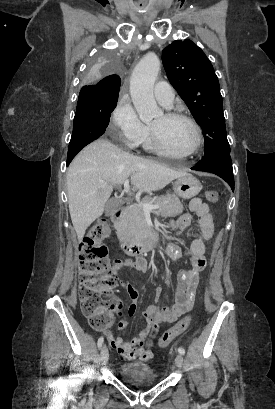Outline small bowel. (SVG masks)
<instances>
[{"label": "small bowel", "mask_w": 275, "mask_h": 409, "mask_svg": "<svg viewBox=\"0 0 275 409\" xmlns=\"http://www.w3.org/2000/svg\"><path fill=\"white\" fill-rule=\"evenodd\" d=\"M190 213L182 214L176 221V227L179 230H185L191 226L192 215L198 218V228L200 235H194L189 247L185 251V255L189 258L190 267L179 271L178 282L179 286L176 292L175 303L172 306L159 307L156 303L151 304L143 312V317L147 323L139 337H119L113 333H106V340L112 351H119L117 353L118 359L125 358L127 360H152L153 352L151 347L152 340L146 339L145 334H156L158 332L157 324L173 323L178 317L185 314L193 306L197 288L200 280V272L206 266V242L209 241L213 235V219L210 213L209 205L201 198L196 197L191 200L189 205ZM168 254L173 262H176L181 255L179 248L170 246ZM122 268H131L137 272L143 273L146 270V262L142 259L132 262L129 260H119L113 267L114 272ZM117 283L124 284L132 299L138 298V291L128 282L127 277H120L116 279ZM162 295V286H157L154 290L155 302H158ZM119 308L124 306L122 301L117 303ZM137 306L135 303L128 307V315L133 316L136 313ZM119 317L125 316L124 310L118 311ZM119 328H126L128 322L126 319H119L117 322ZM124 351V353L122 352Z\"/></svg>", "instance_id": "obj_1"}]
</instances>
